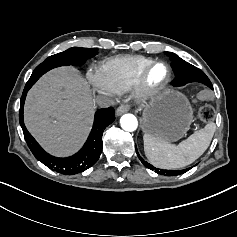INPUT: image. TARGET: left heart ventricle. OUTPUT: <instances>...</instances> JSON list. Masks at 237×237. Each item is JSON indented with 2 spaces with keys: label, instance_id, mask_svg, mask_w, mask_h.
<instances>
[{
  "label": "left heart ventricle",
  "instance_id": "1",
  "mask_svg": "<svg viewBox=\"0 0 237 237\" xmlns=\"http://www.w3.org/2000/svg\"><path fill=\"white\" fill-rule=\"evenodd\" d=\"M166 76V69L162 65L155 66L150 74H149V80L152 83H158L161 82Z\"/></svg>",
  "mask_w": 237,
  "mask_h": 237
}]
</instances>
